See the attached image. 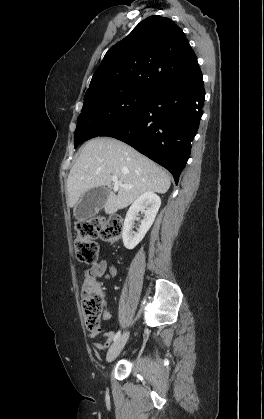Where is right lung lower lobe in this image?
Instances as JSON below:
<instances>
[{"label":"right lung lower lobe","instance_id":"1","mask_svg":"<svg viewBox=\"0 0 264 419\" xmlns=\"http://www.w3.org/2000/svg\"><path fill=\"white\" fill-rule=\"evenodd\" d=\"M203 78L154 91L124 121L100 136L121 140L171 172L178 183L203 114Z\"/></svg>","mask_w":264,"mask_h":419}]
</instances>
